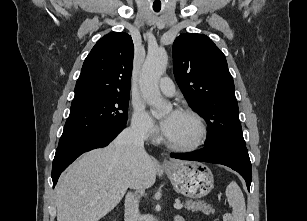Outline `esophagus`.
<instances>
[{
	"label": "esophagus",
	"mask_w": 307,
	"mask_h": 221,
	"mask_svg": "<svg viewBox=\"0 0 307 221\" xmlns=\"http://www.w3.org/2000/svg\"><path fill=\"white\" fill-rule=\"evenodd\" d=\"M162 164H163L164 166H167V165H168V161L163 160V161H162Z\"/></svg>",
	"instance_id": "obj_1"
}]
</instances>
